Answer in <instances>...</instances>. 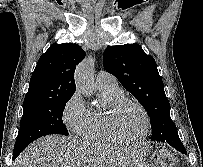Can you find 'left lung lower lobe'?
Listing matches in <instances>:
<instances>
[{
	"mask_svg": "<svg viewBox=\"0 0 203 167\" xmlns=\"http://www.w3.org/2000/svg\"><path fill=\"white\" fill-rule=\"evenodd\" d=\"M164 143H168L170 146L174 147L176 150L186 153V150L183 149V144L178 136H169L165 139H163Z\"/></svg>",
	"mask_w": 203,
	"mask_h": 167,
	"instance_id": "left-lung-lower-lobe-1",
	"label": "left lung lower lobe"
}]
</instances>
